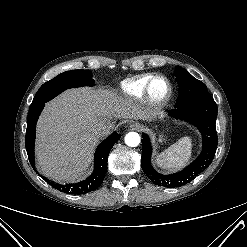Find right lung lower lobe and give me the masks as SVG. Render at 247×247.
<instances>
[{
    "instance_id": "obj_1",
    "label": "right lung lower lobe",
    "mask_w": 247,
    "mask_h": 247,
    "mask_svg": "<svg viewBox=\"0 0 247 247\" xmlns=\"http://www.w3.org/2000/svg\"><path fill=\"white\" fill-rule=\"evenodd\" d=\"M45 104L39 105L34 108L29 109L28 119H27V130L25 136V146L28 154L30 164L35 169L34 162V143L36 135V123L38 117L43 110ZM120 136L117 132L111 134L107 139H105L96 149L94 156V171L93 173L84 181L75 184H57L47 178L41 176L45 181H47L52 187L57 188L59 191L68 194H85L96 190L104 180L107 171L108 155L113 145L118 141Z\"/></svg>"
}]
</instances>
